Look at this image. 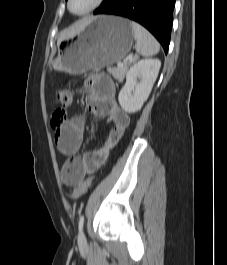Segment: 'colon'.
<instances>
[{"mask_svg": "<svg viewBox=\"0 0 227 265\" xmlns=\"http://www.w3.org/2000/svg\"><path fill=\"white\" fill-rule=\"evenodd\" d=\"M55 100L61 105V108L57 109L52 116L51 124L52 127L57 129L61 125L64 124L66 121V108L70 106L73 98V93L72 91L68 89H59L55 92L54 94ZM77 158H71L67 160L63 167H62V177L65 180H69V176L71 173V170L73 166L76 164ZM93 177H89L83 182H81L73 191L72 193V198L74 200L79 199L82 195H84L87 190L90 188L92 182H93Z\"/></svg>", "mask_w": 227, "mask_h": 265, "instance_id": "1", "label": "colon"}]
</instances>
